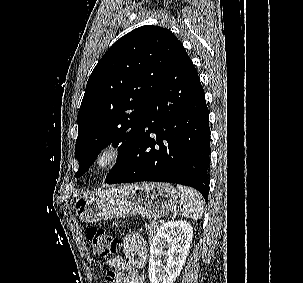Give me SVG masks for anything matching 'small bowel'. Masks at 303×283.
Segmentation results:
<instances>
[{"label": "small bowel", "instance_id": "obj_1", "mask_svg": "<svg viewBox=\"0 0 303 283\" xmlns=\"http://www.w3.org/2000/svg\"><path fill=\"white\" fill-rule=\"evenodd\" d=\"M147 243L140 233L132 232L123 239V254L107 260L112 267L105 283H146L139 273L147 261Z\"/></svg>", "mask_w": 303, "mask_h": 283}]
</instances>
